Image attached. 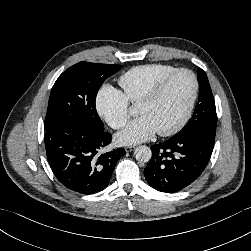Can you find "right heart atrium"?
<instances>
[{
    "label": "right heart atrium",
    "instance_id": "d8ad5b80",
    "mask_svg": "<svg viewBox=\"0 0 251 251\" xmlns=\"http://www.w3.org/2000/svg\"><path fill=\"white\" fill-rule=\"evenodd\" d=\"M95 106L98 114L113 129L122 128L128 119V102L123 93L112 86H103L97 93Z\"/></svg>",
    "mask_w": 251,
    "mask_h": 251
}]
</instances>
